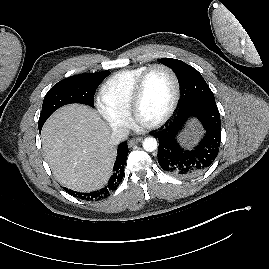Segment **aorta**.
I'll return each mask as SVG.
<instances>
[{"instance_id":"aorta-1","label":"aorta","mask_w":269,"mask_h":269,"mask_svg":"<svg viewBox=\"0 0 269 269\" xmlns=\"http://www.w3.org/2000/svg\"><path fill=\"white\" fill-rule=\"evenodd\" d=\"M142 145H143L144 150L147 152L155 151L158 146L156 139L153 137L145 138Z\"/></svg>"}]
</instances>
